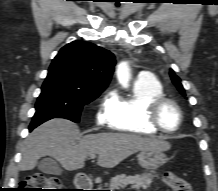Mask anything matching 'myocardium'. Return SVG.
<instances>
[{
	"label": "myocardium",
	"instance_id": "myocardium-1",
	"mask_svg": "<svg viewBox=\"0 0 218 191\" xmlns=\"http://www.w3.org/2000/svg\"><path fill=\"white\" fill-rule=\"evenodd\" d=\"M166 104L173 105L176 108V110L178 111V114H179V124H178L177 128H175L174 130L165 129L161 125V123L159 121L160 110ZM147 121L154 129H156L157 131H159L161 133L175 134V133L179 132L180 129L182 128V126H183L184 113H183V110H182L181 106L176 101L163 96V97H159V98L153 100L149 104L148 110H147Z\"/></svg>",
	"mask_w": 218,
	"mask_h": 191
}]
</instances>
